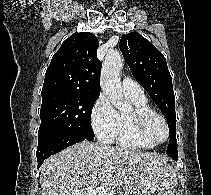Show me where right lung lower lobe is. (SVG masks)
I'll return each mask as SVG.
<instances>
[{
  "instance_id": "right-lung-lower-lobe-1",
  "label": "right lung lower lobe",
  "mask_w": 211,
  "mask_h": 195,
  "mask_svg": "<svg viewBox=\"0 0 211 195\" xmlns=\"http://www.w3.org/2000/svg\"><path fill=\"white\" fill-rule=\"evenodd\" d=\"M89 140L86 136L78 133H58L38 140L37 161L38 168L49 156L75 143Z\"/></svg>"
}]
</instances>
